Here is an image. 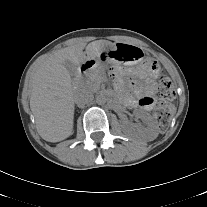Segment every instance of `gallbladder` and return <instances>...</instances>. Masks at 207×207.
<instances>
[{"label":"gallbladder","instance_id":"obj_1","mask_svg":"<svg viewBox=\"0 0 207 207\" xmlns=\"http://www.w3.org/2000/svg\"><path fill=\"white\" fill-rule=\"evenodd\" d=\"M64 66L66 67V69L68 70V72L71 74V75H74L76 74L77 72V66L75 64H73L72 62L70 61H66L64 63Z\"/></svg>","mask_w":207,"mask_h":207}]
</instances>
